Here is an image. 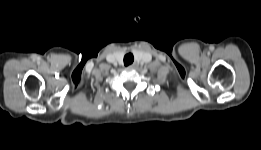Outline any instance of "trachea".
Segmentation results:
<instances>
[{
    "label": "trachea",
    "mask_w": 261,
    "mask_h": 150,
    "mask_svg": "<svg viewBox=\"0 0 261 150\" xmlns=\"http://www.w3.org/2000/svg\"><path fill=\"white\" fill-rule=\"evenodd\" d=\"M133 61H134V56H133V54L128 53V54H126V55L124 56V64H125V66H128V65L132 64Z\"/></svg>",
    "instance_id": "trachea-1"
}]
</instances>
